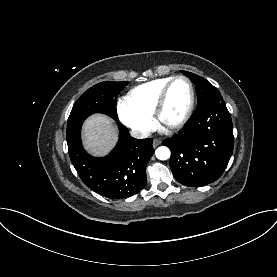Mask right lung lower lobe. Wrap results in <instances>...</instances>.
<instances>
[{
	"label": "right lung lower lobe",
	"instance_id": "98d812e1",
	"mask_svg": "<svg viewBox=\"0 0 277 277\" xmlns=\"http://www.w3.org/2000/svg\"><path fill=\"white\" fill-rule=\"evenodd\" d=\"M119 141L102 158L89 155L82 147L81 129L67 137L68 152L81 180L107 198H126L142 190L147 181L146 166L154 153L152 139H135L118 123Z\"/></svg>",
	"mask_w": 277,
	"mask_h": 277
}]
</instances>
